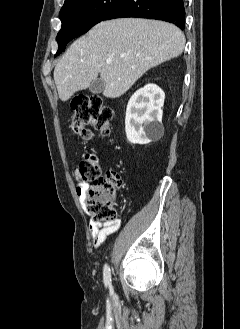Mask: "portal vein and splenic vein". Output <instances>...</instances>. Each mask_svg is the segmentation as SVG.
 Instances as JSON below:
<instances>
[{"label":"portal vein and splenic vein","mask_w":240,"mask_h":329,"mask_svg":"<svg viewBox=\"0 0 240 329\" xmlns=\"http://www.w3.org/2000/svg\"><path fill=\"white\" fill-rule=\"evenodd\" d=\"M106 62H107L108 64H110V63H111V60H110V59H108Z\"/></svg>","instance_id":"obj_1"}]
</instances>
